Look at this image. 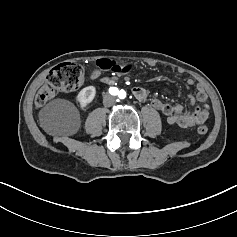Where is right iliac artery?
Returning a JSON list of instances; mask_svg holds the SVG:
<instances>
[{
    "instance_id": "obj_1",
    "label": "right iliac artery",
    "mask_w": 237,
    "mask_h": 237,
    "mask_svg": "<svg viewBox=\"0 0 237 237\" xmlns=\"http://www.w3.org/2000/svg\"><path fill=\"white\" fill-rule=\"evenodd\" d=\"M109 92H110L112 95H117V94H118V88H116V87H110V88H109Z\"/></svg>"
}]
</instances>
